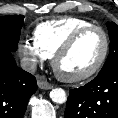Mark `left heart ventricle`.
Listing matches in <instances>:
<instances>
[{
	"label": "left heart ventricle",
	"instance_id": "1",
	"mask_svg": "<svg viewBox=\"0 0 118 118\" xmlns=\"http://www.w3.org/2000/svg\"><path fill=\"white\" fill-rule=\"evenodd\" d=\"M104 42L99 31L84 34L71 50L58 62L59 70L69 76H76L90 70L103 52Z\"/></svg>",
	"mask_w": 118,
	"mask_h": 118
}]
</instances>
